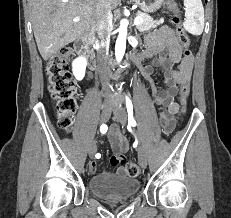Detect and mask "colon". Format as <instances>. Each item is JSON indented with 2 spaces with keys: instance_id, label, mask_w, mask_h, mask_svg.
<instances>
[{
  "instance_id": "1",
  "label": "colon",
  "mask_w": 231,
  "mask_h": 218,
  "mask_svg": "<svg viewBox=\"0 0 231 218\" xmlns=\"http://www.w3.org/2000/svg\"><path fill=\"white\" fill-rule=\"evenodd\" d=\"M170 9L174 12L172 21L176 27V35L185 48V53L190 54V40L182 25V18L175 3H170ZM72 50L69 47L61 48L49 58L46 63V76L48 90L56 102L58 123L61 128L69 130L73 122V116L77 108V90L69 70V61ZM190 95V82H184L180 86L181 113L186 112L187 100ZM122 164L130 177L140 174L138 164L123 161Z\"/></svg>"
}]
</instances>
